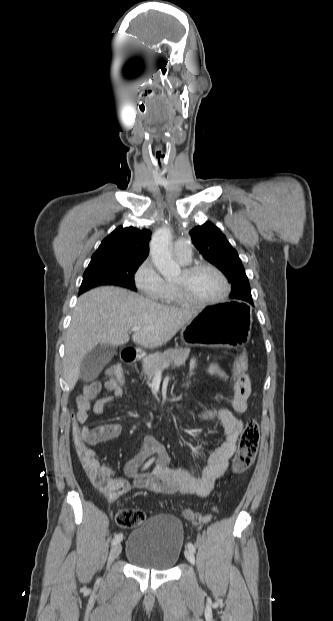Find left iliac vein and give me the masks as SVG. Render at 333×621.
<instances>
[{
	"label": "left iliac vein",
	"mask_w": 333,
	"mask_h": 621,
	"mask_svg": "<svg viewBox=\"0 0 333 621\" xmlns=\"http://www.w3.org/2000/svg\"><path fill=\"white\" fill-rule=\"evenodd\" d=\"M185 557L187 558V560L191 563L194 564L195 563V556L194 553L191 550H186L185 551Z\"/></svg>",
	"instance_id": "left-iliac-vein-1"
}]
</instances>
